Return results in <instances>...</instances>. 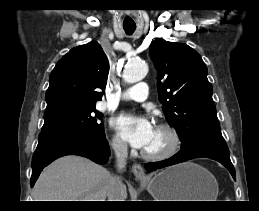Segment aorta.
<instances>
[{"label":"aorta","instance_id":"obj_1","mask_svg":"<svg viewBox=\"0 0 259 211\" xmlns=\"http://www.w3.org/2000/svg\"><path fill=\"white\" fill-rule=\"evenodd\" d=\"M148 73V65L144 61H132L128 63L123 71V79L127 83L141 81Z\"/></svg>","mask_w":259,"mask_h":211}]
</instances>
